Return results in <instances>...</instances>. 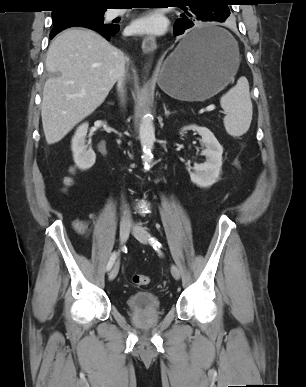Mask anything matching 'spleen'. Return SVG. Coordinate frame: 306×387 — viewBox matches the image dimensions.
<instances>
[{
  "label": "spleen",
  "instance_id": "3e777b00",
  "mask_svg": "<svg viewBox=\"0 0 306 387\" xmlns=\"http://www.w3.org/2000/svg\"><path fill=\"white\" fill-rule=\"evenodd\" d=\"M225 112L223 119L227 133L238 137L246 133L250 127L253 108L246 77H240L237 84L220 99Z\"/></svg>",
  "mask_w": 306,
  "mask_h": 387
}]
</instances>
